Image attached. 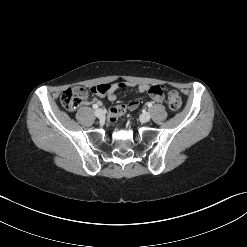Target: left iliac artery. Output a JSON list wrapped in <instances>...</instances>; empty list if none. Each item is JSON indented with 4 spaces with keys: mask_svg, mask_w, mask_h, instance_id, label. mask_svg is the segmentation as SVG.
<instances>
[{
    "mask_svg": "<svg viewBox=\"0 0 247 247\" xmlns=\"http://www.w3.org/2000/svg\"><path fill=\"white\" fill-rule=\"evenodd\" d=\"M147 105H148V107H152V103L151 102H149Z\"/></svg>",
    "mask_w": 247,
    "mask_h": 247,
    "instance_id": "1",
    "label": "left iliac artery"
}]
</instances>
